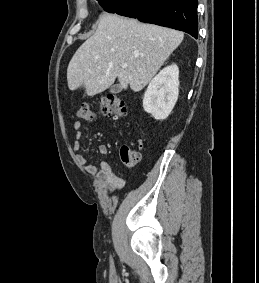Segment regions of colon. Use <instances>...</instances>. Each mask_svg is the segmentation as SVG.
Here are the masks:
<instances>
[{"label":"colon","mask_w":259,"mask_h":283,"mask_svg":"<svg viewBox=\"0 0 259 283\" xmlns=\"http://www.w3.org/2000/svg\"><path fill=\"white\" fill-rule=\"evenodd\" d=\"M99 113L103 116L113 115L116 119L125 118L128 115L126 103L116 95H107L99 101ZM77 116L83 120H93L95 112L89 103H82L78 110ZM141 153L138 149L124 145L121 148V160L126 166H133L139 162Z\"/></svg>","instance_id":"5ec220e1"}]
</instances>
